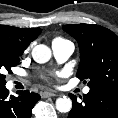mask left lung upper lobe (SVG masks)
Wrapping results in <instances>:
<instances>
[{"label":"left lung upper lobe","instance_id":"1","mask_svg":"<svg viewBox=\"0 0 118 118\" xmlns=\"http://www.w3.org/2000/svg\"><path fill=\"white\" fill-rule=\"evenodd\" d=\"M80 49L76 76L88 82L90 90L118 93V36L94 24L64 25Z\"/></svg>","mask_w":118,"mask_h":118}]
</instances>
